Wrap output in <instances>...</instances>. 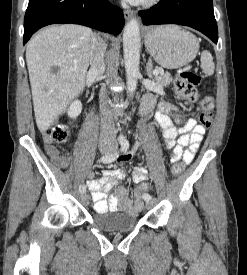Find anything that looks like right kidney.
<instances>
[{
    "label": "right kidney",
    "mask_w": 247,
    "mask_h": 275,
    "mask_svg": "<svg viewBox=\"0 0 247 275\" xmlns=\"http://www.w3.org/2000/svg\"><path fill=\"white\" fill-rule=\"evenodd\" d=\"M82 111V104L79 100L73 101L68 109V116L72 119L80 115Z\"/></svg>",
    "instance_id": "obj_1"
}]
</instances>
